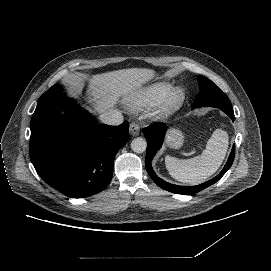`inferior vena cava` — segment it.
Wrapping results in <instances>:
<instances>
[{"instance_id": "inferior-vena-cava-1", "label": "inferior vena cava", "mask_w": 271, "mask_h": 271, "mask_svg": "<svg viewBox=\"0 0 271 271\" xmlns=\"http://www.w3.org/2000/svg\"><path fill=\"white\" fill-rule=\"evenodd\" d=\"M100 120L107 125H120L123 122V115L118 110L110 109L100 115Z\"/></svg>"}]
</instances>
